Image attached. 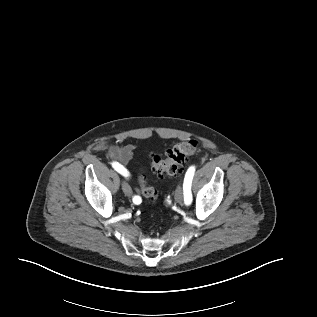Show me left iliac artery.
<instances>
[{
    "label": "left iliac artery",
    "instance_id": "1",
    "mask_svg": "<svg viewBox=\"0 0 317 317\" xmlns=\"http://www.w3.org/2000/svg\"><path fill=\"white\" fill-rule=\"evenodd\" d=\"M195 172V166L189 167L185 174L184 182H183V194H184V201L185 204H190L192 201V193H191V184L192 179Z\"/></svg>",
    "mask_w": 317,
    "mask_h": 317
}]
</instances>
